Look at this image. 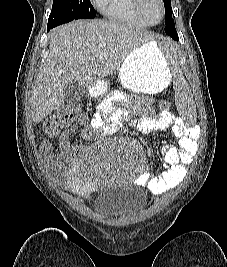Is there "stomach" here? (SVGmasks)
<instances>
[{"label": "stomach", "instance_id": "obj_1", "mask_svg": "<svg viewBox=\"0 0 227 267\" xmlns=\"http://www.w3.org/2000/svg\"><path fill=\"white\" fill-rule=\"evenodd\" d=\"M163 50L162 47H154L153 42H146L134 49L119 69L121 84L141 93H157L165 89L171 81V73ZM97 84L89 87L91 97L100 95V90L109 88L108 85Z\"/></svg>", "mask_w": 227, "mask_h": 267}]
</instances>
